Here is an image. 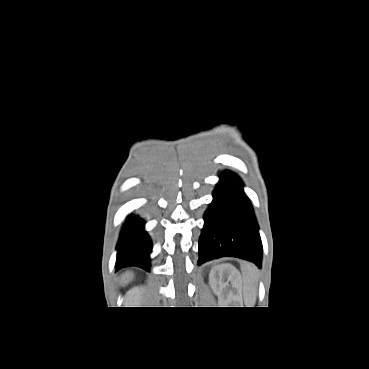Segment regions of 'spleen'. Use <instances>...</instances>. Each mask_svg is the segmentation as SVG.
<instances>
[{"instance_id": "spleen-1", "label": "spleen", "mask_w": 369, "mask_h": 369, "mask_svg": "<svg viewBox=\"0 0 369 369\" xmlns=\"http://www.w3.org/2000/svg\"><path fill=\"white\" fill-rule=\"evenodd\" d=\"M243 285H244V299L245 301L250 300L248 307L256 301L257 291V270L253 264L246 263L241 266Z\"/></svg>"}]
</instances>
